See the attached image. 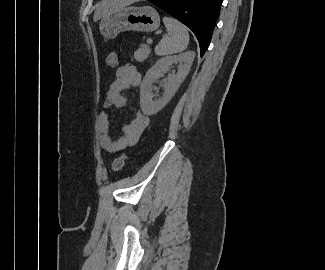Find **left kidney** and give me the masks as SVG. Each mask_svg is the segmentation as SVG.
<instances>
[{
    "label": "left kidney",
    "mask_w": 325,
    "mask_h": 270,
    "mask_svg": "<svg viewBox=\"0 0 325 270\" xmlns=\"http://www.w3.org/2000/svg\"><path fill=\"white\" fill-rule=\"evenodd\" d=\"M195 52L167 56L159 59L147 72L140 86V105L142 112L146 115H154L164 108L188 75ZM172 64H179L177 73H172L164 85L163 96L158 100H153L152 84L156 81L160 73L170 70Z\"/></svg>",
    "instance_id": "left-kidney-1"
}]
</instances>
